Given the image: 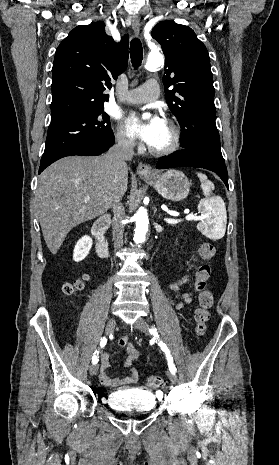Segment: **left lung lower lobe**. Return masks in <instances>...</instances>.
Wrapping results in <instances>:
<instances>
[{"label":"left lung lower lobe","instance_id":"obj_1","mask_svg":"<svg viewBox=\"0 0 279 465\" xmlns=\"http://www.w3.org/2000/svg\"><path fill=\"white\" fill-rule=\"evenodd\" d=\"M181 166L198 167L213 171L223 180L226 187L229 188L225 162L202 151L187 148L178 150L169 156L161 157L156 168L165 169Z\"/></svg>","mask_w":279,"mask_h":465}]
</instances>
